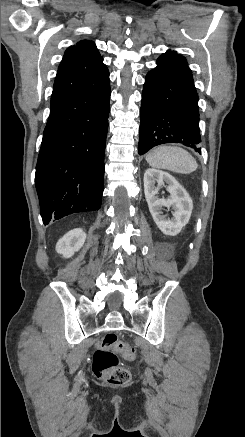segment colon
<instances>
[{
	"label": "colon",
	"instance_id": "1",
	"mask_svg": "<svg viewBox=\"0 0 245 437\" xmlns=\"http://www.w3.org/2000/svg\"><path fill=\"white\" fill-rule=\"evenodd\" d=\"M116 352L128 360L136 357L135 348L120 342L113 333L105 334L97 343L92 360V372L106 383L120 386L130 381L131 374L127 369L118 366Z\"/></svg>",
	"mask_w": 245,
	"mask_h": 437
}]
</instances>
